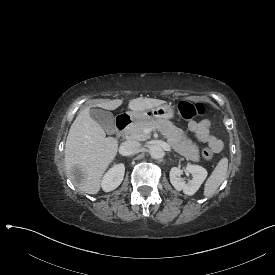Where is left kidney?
Returning a JSON list of instances; mask_svg holds the SVG:
<instances>
[{
	"label": "left kidney",
	"mask_w": 275,
	"mask_h": 275,
	"mask_svg": "<svg viewBox=\"0 0 275 275\" xmlns=\"http://www.w3.org/2000/svg\"><path fill=\"white\" fill-rule=\"evenodd\" d=\"M185 172L192 175L189 184L181 178L183 171L181 167H172L169 171L170 182L177 191H183L186 195H193L201 186L207 176V171L198 165H189L185 168Z\"/></svg>",
	"instance_id": "5707ae66"
}]
</instances>
